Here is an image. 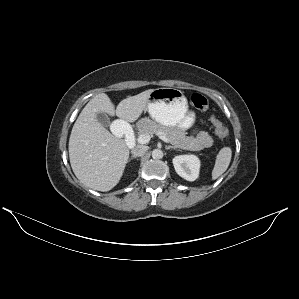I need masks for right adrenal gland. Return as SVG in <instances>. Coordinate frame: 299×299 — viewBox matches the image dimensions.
Wrapping results in <instances>:
<instances>
[{"mask_svg":"<svg viewBox=\"0 0 299 299\" xmlns=\"http://www.w3.org/2000/svg\"><path fill=\"white\" fill-rule=\"evenodd\" d=\"M134 158H136V156H131L130 160H131V159H134Z\"/></svg>","mask_w":299,"mask_h":299,"instance_id":"right-adrenal-gland-1","label":"right adrenal gland"}]
</instances>
